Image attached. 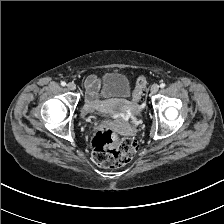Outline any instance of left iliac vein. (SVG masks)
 <instances>
[{"label":"left iliac vein","mask_w":224,"mask_h":224,"mask_svg":"<svg viewBox=\"0 0 224 224\" xmlns=\"http://www.w3.org/2000/svg\"><path fill=\"white\" fill-rule=\"evenodd\" d=\"M151 93L152 94H155V93H157L158 92V90H159V85L157 84V83H155V84H153L152 86H151Z\"/></svg>","instance_id":"obj_1"}]
</instances>
